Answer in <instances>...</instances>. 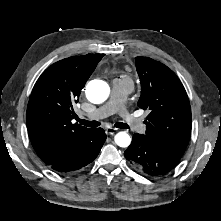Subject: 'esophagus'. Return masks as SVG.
I'll use <instances>...</instances> for the list:
<instances>
[{"label": "esophagus", "mask_w": 221, "mask_h": 221, "mask_svg": "<svg viewBox=\"0 0 221 221\" xmlns=\"http://www.w3.org/2000/svg\"><path fill=\"white\" fill-rule=\"evenodd\" d=\"M117 129L113 128V127H108L105 129V132L107 135H113L116 132Z\"/></svg>", "instance_id": "esophagus-1"}]
</instances>
